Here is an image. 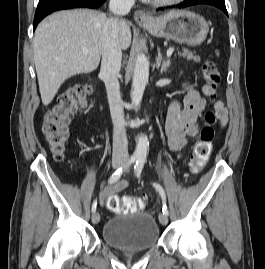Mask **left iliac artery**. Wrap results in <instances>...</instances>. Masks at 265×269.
Listing matches in <instances>:
<instances>
[{
    "label": "left iliac artery",
    "mask_w": 265,
    "mask_h": 269,
    "mask_svg": "<svg viewBox=\"0 0 265 269\" xmlns=\"http://www.w3.org/2000/svg\"><path fill=\"white\" fill-rule=\"evenodd\" d=\"M145 160H146L145 156L138 157L137 162H136V164L134 166L135 174H136V176L138 178L141 175ZM153 185H154L155 189L159 192V194H160V196H161V198L163 200L162 212H163V214L168 215V209H167V206H166V195H165L164 189L158 183H154Z\"/></svg>",
    "instance_id": "obj_1"
}]
</instances>
